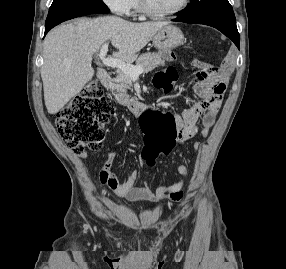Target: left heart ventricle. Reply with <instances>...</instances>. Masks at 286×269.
<instances>
[{"label":"left heart ventricle","mask_w":286,"mask_h":269,"mask_svg":"<svg viewBox=\"0 0 286 269\" xmlns=\"http://www.w3.org/2000/svg\"><path fill=\"white\" fill-rule=\"evenodd\" d=\"M182 0H147L151 10L157 13L172 11L181 4Z\"/></svg>","instance_id":"b2bd125f"}]
</instances>
